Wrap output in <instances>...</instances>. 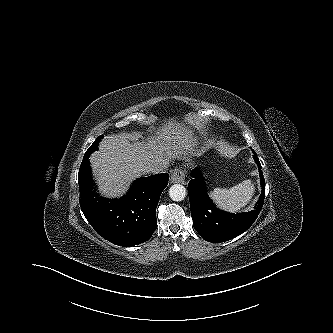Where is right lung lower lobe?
Returning a JSON list of instances; mask_svg holds the SVG:
<instances>
[{
	"label": "right lung lower lobe",
	"mask_w": 333,
	"mask_h": 333,
	"mask_svg": "<svg viewBox=\"0 0 333 333\" xmlns=\"http://www.w3.org/2000/svg\"><path fill=\"white\" fill-rule=\"evenodd\" d=\"M88 159L84 155L78 180L81 210L90 225L104 239L119 246L131 247L147 241L157 227L156 207L169 174L139 178L126 196L109 200L94 193Z\"/></svg>",
	"instance_id": "obj_1"
}]
</instances>
